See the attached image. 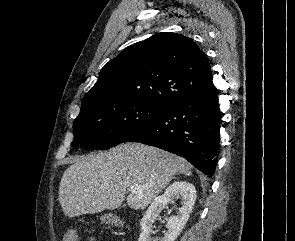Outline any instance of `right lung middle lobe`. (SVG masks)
Returning a JSON list of instances; mask_svg holds the SVG:
<instances>
[{
  "instance_id": "right-lung-middle-lobe-1",
  "label": "right lung middle lobe",
  "mask_w": 295,
  "mask_h": 241,
  "mask_svg": "<svg viewBox=\"0 0 295 241\" xmlns=\"http://www.w3.org/2000/svg\"><path fill=\"white\" fill-rule=\"evenodd\" d=\"M163 108L133 101L114 91L87 95L73 123L71 146L81 145L88 150L109 149L159 115Z\"/></svg>"
}]
</instances>
